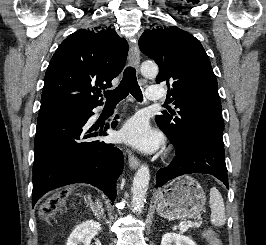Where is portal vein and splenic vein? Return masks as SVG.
Listing matches in <instances>:
<instances>
[{"label":"portal vein and splenic vein","mask_w":266,"mask_h":245,"mask_svg":"<svg viewBox=\"0 0 266 245\" xmlns=\"http://www.w3.org/2000/svg\"><path fill=\"white\" fill-rule=\"evenodd\" d=\"M190 225H183V227H181L180 231H187V229H189Z\"/></svg>","instance_id":"portal-vein-and-splenic-vein-1"}]
</instances>
